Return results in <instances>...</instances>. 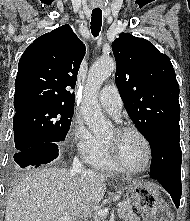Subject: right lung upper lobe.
Here are the masks:
<instances>
[{"label":"right lung upper lobe","mask_w":190,"mask_h":221,"mask_svg":"<svg viewBox=\"0 0 190 221\" xmlns=\"http://www.w3.org/2000/svg\"><path fill=\"white\" fill-rule=\"evenodd\" d=\"M85 45L69 25L37 38L18 64L14 107L17 112L38 105L74 107V88Z\"/></svg>","instance_id":"obj_1"}]
</instances>
